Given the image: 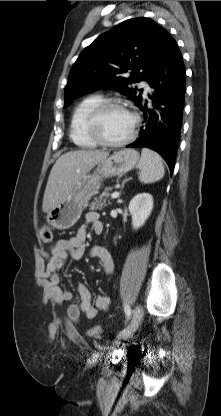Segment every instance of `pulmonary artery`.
Wrapping results in <instances>:
<instances>
[{"label":"pulmonary artery","mask_w":221,"mask_h":416,"mask_svg":"<svg viewBox=\"0 0 221 416\" xmlns=\"http://www.w3.org/2000/svg\"><path fill=\"white\" fill-rule=\"evenodd\" d=\"M141 85H142V87H144L145 91H147V92L150 91V87L147 83L143 82Z\"/></svg>","instance_id":"pulmonary-artery-1"}]
</instances>
